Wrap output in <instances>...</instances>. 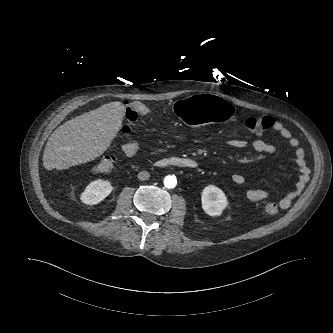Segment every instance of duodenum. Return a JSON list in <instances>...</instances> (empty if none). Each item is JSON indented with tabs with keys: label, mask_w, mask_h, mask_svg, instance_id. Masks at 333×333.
Returning <instances> with one entry per match:
<instances>
[{
	"label": "duodenum",
	"mask_w": 333,
	"mask_h": 333,
	"mask_svg": "<svg viewBox=\"0 0 333 333\" xmlns=\"http://www.w3.org/2000/svg\"><path fill=\"white\" fill-rule=\"evenodd\" d=\"M155 165L157 167H176L184 169H195L198 166V163L191 158L185 157H169L156 161Z\"/></svg>",
	"instance_id": "obj_1"
}]
</instances>
